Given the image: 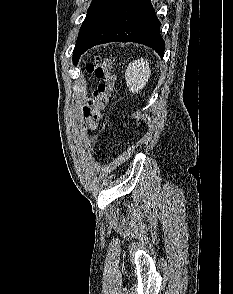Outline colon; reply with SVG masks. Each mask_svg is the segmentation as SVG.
Instances as JSON below:
<instances>
[{
  "mask_svg": "<svg viewBox=\"0 0 233 294\" xmlns=\"http://www.w3.org/2000/svg\"><path fill=\"white\" fill-rule=\"evenodd\" d=\"M111 67L110 59L100 56H97L94 63L89 64L87 67V71L99 80L97 88L81 111L80 121L89 128H94L99 121L101 111L108 103L114 90L115 78L111 73Z\"/></svg>",
  "mask_w": 233,
  "mask_h": 294,
  "instance_id": "5ec220e1",
  "label": "colon"
}]
</instances>
